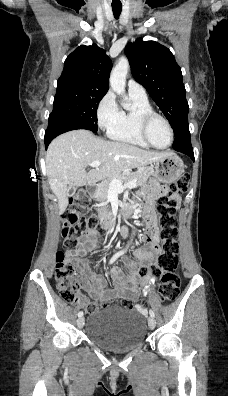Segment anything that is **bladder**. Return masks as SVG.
I'll list each match as a JSON object with an SVG mask.
<instances>
[{
  "mask_svg": "<svg viewBox=\"0 0 228 396\" xmlns=\"http://www.w3.org/2000/svg\"><path fill=\"white\" fill-rule=\"evenodd\" d=\"M85 336L104 349L127 351L146 340V321L136 311L107 308L90 315Z\"/></svg>",
  "mask_w": 228,
  "mask_h": 396,
  "instance_id": "bladder-1",
  "label": "bladder"
}]
</instances>
